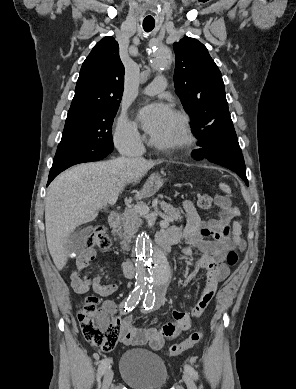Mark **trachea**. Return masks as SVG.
<instances>
[{
    "label": "trachea",
    "mask_w": 296,
    "mask_h": 389,
    "mask_svg": "<svg viewBox=\"0 0 296 389\" xmlns=\"http://www.w3.org/2000/svg\"><path fill=\"white\" fill-rule=\"evenodd\" d=\"M154 26H155V24H153V23H143V29L146 32L152 31L154 29Z\"/></svg>",
    "instance_id": "trachea-1"
}]
</instances>
